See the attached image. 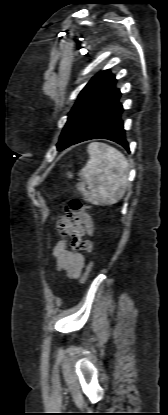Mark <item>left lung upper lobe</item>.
<instances>
[{"instance_id":"1","label":"left lung upper lobe","mask_w":168,"mask_h":415,"mask_svg":"<svg viewBox=\"0 0 168 415\" xmlns=\"http://www.w3.org/2000/svg\"><path fill=\"white\" fill-rule=\"evenodd\" d=\"M116 81L109 70H104L88 82L68 114L67 123L57 144L59 151L75 144L95 117L120 95V90L115 88Z\"/></svg>"}]
</instances>
